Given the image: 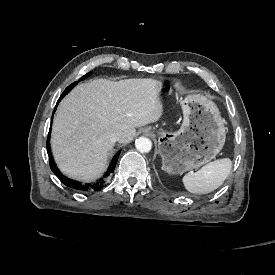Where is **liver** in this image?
I'll return each mask as SVG.
<instances>
[{"mask_svg": "<svg viewBox=\"0 0 275 275\" xmlns=\"http://www.w3.org/2000/svg\"><path fill=\"white\" fill-rule=\"evenodd\" d=\"M159 86L150 78L77 85L60 102L52 126L51 149L60 171L83 182L101 177L114 147L111 135L122 132L119 143H128L136 127L161 117Z\"/></svg>", "mask_w": 275, "mask_h": 275, "instance_id": "liver-1", "label": "liver"}]
</instances>
